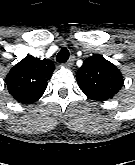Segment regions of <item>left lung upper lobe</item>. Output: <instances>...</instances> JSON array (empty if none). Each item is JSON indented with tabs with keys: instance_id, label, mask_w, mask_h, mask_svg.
I'll return each instance as SVG.
<instances>
[{
	"instance_id": "1",
	"label": "left lung upper lobe",
	"mask_w": 135,
	"mask_h": 165,
	"mask_svg": "<svg viewBox=\"0 0 135 165\" xmlns=\"http://www.w3.org/2000/svg\"><path fill=\"white\" fill-rule=\"evenodd\" d=\"M76 78L82 92L97 101L112 98L121 89L123 82L119 69L101 55L84 60Z\"/></svg>"
}]
</instances>
